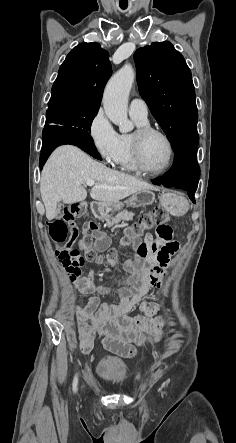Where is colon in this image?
Here are the masks:
<instances>
[{
	"label": "colon",
	"instance_id": "1",
	"mask_svg": "<svg viewBox=\"0 0 236 443\" xmlns=\"http://www.w3.org/2000/svg\"><path fill=\"white\" fill-rule=\"evenodd\" d=\"M86 213L85 205L81 203L71 204L65 211L62 218L48 222V232L50 239L60 249L57 256L60 261L75 269H82L85 262H99L102 257L99 256L93 248L91 237L88 234L80 237L79 229L74 226V220L82 217ZM170 215L163 208H155L152 212L144 214L129 230L124 242L126 244L139 238L145 231L156 227V234L163 240L169 242L166 249L173 252L177 245L172 241L173 230L169 225ZM98 225L94 222L85 224L84 231H97ZM77 242L79 244L77 245ZM149 254L146 246H141L137 252V259H145ZM117 260V251L112 250L108 255V262L114 264ZM140 267L135 263L129 270L130 276Z\"/></svg>",
	"mask_w": 236,
	"mask_h": 443
}]
</instances>
